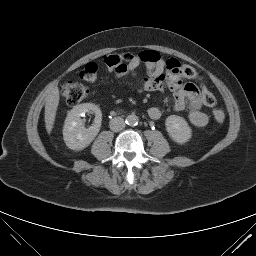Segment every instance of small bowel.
Listing matches in <instances>:
<instances>
[{
	"label": "small bowel",
	"instance_id": "c3829d8e",
	"mask_svg": "<svg viewBox=\"0 0 256 256\" xmlns=\"http://www.w3.org/2000/svg\"><path fill=\"white\" fill-rule=\"evenodd\" d=\"M130 55L131 59L122 64L113 75L116 79L124 76L137 75L138 67L144 63L147 74L140 80V92L162 91L168 87L174 96V109L176 111L188 109V119L196 127L207 125L209 118L202 110V99L198 88L191 82H184L185 78L179 70L182 65L177 59H160L157 62H145L139 58V54ZM148 115L151 119L157 120L162 115V110L158 106H152L148 109Z\"/></svg>",
	"mask_w": 256,
	"mask_h": 256
}]
</instances>
